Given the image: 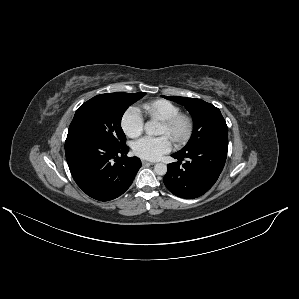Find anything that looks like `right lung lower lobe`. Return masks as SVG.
Wrapping results in <instances>:
<instances>
[{
    "label": "right lung lower lobe",
    "instance_id": "obj_1",
    "mask_svg": "<svg viewBox=\"0 0 299 299\" xmlns=\"http://www.w3.org/2000/svg\"><path fill=\"white\" fill-rule=\"evenodd\" d=\"M129 148L97 137L67 138L66 160L73 179L88 196L109 201L122 195L141 167L137 157L128 158Z\"/></svg>",
    "mask_w": 299,
    "mask_h": 299
}]
</instances>
